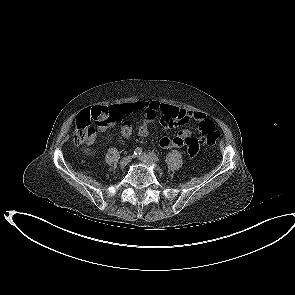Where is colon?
<instances>
[{"label":"colon","instance_id":"obj_1","mask_svg":"<svg viewBox=\"0 0 295 295\" xmlns=\"http://www.w3.org/2000/svg\"><path fill=\"white\" fill-rule=\"evenodd\" d=\"M110 116L111 111L107 107L102 106L83 111L76 120V128L73 134L75 144L83 145L90 142L96 133L95 124H98L102 118ZM199 129L207 144H215L218 132L212 120H203L199 125Z\"/></svg>","mask_w":295,"mask_h":295}]
</instances>
